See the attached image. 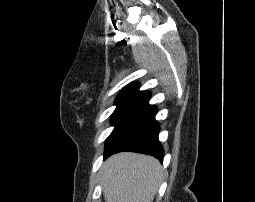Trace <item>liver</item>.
Returning a JSON list of instances; mask_svg holds the SVG:
<instances>
[{
	"label": "liver",
	"instance_id": "1",
	"mask_svg": "<svg viewBox=\"0 0 255 202\" xmlns=\"http://www.w3.org/2000/svg\"><path fill=\"white\" fill-rule=\"evenodd\" d=\"M162 168L148 155L123 152L103 164L105 202H152L161 182Z\"/></svg>",
	"mask_w": 255,
	"mask_h": 202
}]
</instances>
